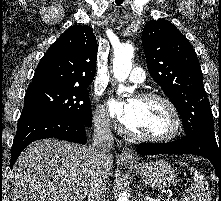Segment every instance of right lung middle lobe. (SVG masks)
<instances>
[{"label":"right lung middle lobe","instance_id":"dd1d6c3e","mask_svg":"<svg viewBox=\"0 0 221 201\" xmlns=\"http://www.w3.org/2000/svg\"><path fill=\"white\" fill-rule=\"evenodd\" d=\"M35 112L68 116L85 124H92L89 92L81 88H28L21 115Z\"/></svg>","mask_w":221,"mask_h":201}]
</instances>
